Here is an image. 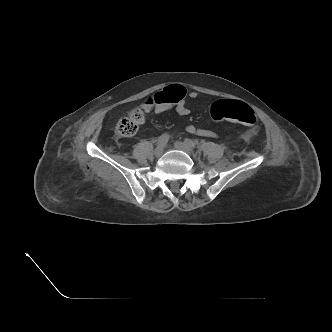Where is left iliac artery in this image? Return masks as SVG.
<instances>
[{
  "mask_svg": "<svg viewBox=\"0 0 332 332\" xmlns=\"http://www.w3.org/2000/svg\"><path fill=\"white\" fill-rule=\"evenodd\" d=\"M185 143L192 148H194L196 146V143L191 139H185Z\"/></svg>",
  "mask_w": 332,
  "mask_h": 332,
  "instance_id": "left-iliac-artery-1",
  "label": "left iliac artery"
}]
</instances>
